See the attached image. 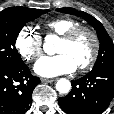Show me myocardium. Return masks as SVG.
<instances>
[{"label": "myocardium", "instance_id": "myocardium-1", "mask_svg": "<svg viewBox=\"0 0 114 114\" xmlns=\"http://www.w3.org/2000/svg\"><path fill=\"white\" fill-rule=\"evenodd\" d=\"M81 34L89 35L92 40V43H93L92 52H91L89 58L84 63L77 66L79 70L85 71L94 65V63L96 62L98 55H99L100 40H99L97 33L90 27H87L84 25H79V26H76V27L70 29L66 33H64L61 36V40L66 41V42H73Z\"/></svg>", "mask_w": 114, "mask_h": 114}]
</instances>
